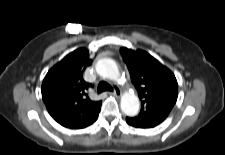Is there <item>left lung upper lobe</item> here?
Returning <instances> with one entry per match:
<instances>
[{
	"instance_id": "left-lung-upper-lobe-1",
	"label": "left lung upper lobe",
	"mask_w": 225,
	"mask_h": 155,
	"mask_svg": "<svg viewBox=\"0 0 225 155\" xmlns=\"http://www.w3.org/2000/svg\"><path fill=\"white\" fill-rule=\"evenodd\" d=\"M132 83L139 92L142 109L133 121L140 127H155L171 112L178 96L174 74L154 57L142 50L120 49Z\"/></svg>"
}]
</instances>
